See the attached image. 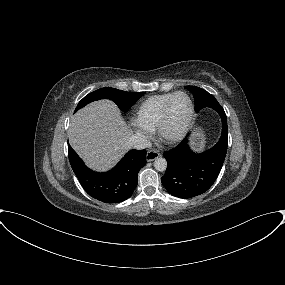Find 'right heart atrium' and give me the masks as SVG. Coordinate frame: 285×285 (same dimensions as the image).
<instances>
[{
	"mask_svg": "<svg viewBox=\"0 0 285 285\" xmlns=\"http://www.w3.org/2000/svg\"><path fill=\"white\" fill-rule=\"evenodd\" d=\"M134 125H135L137 131L140 132V133L147 134L149 132L148 129L142 127L141 125H139L137 123H135Z\"/></svg>",
	"mask_w": 285,
	"mask_h": 285,
	"instance_id": "1",
	"label": "right heart atrium"
}]
</instances>
